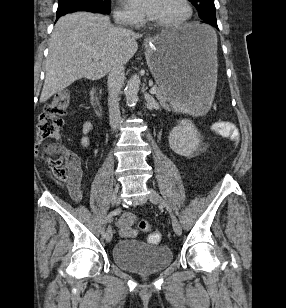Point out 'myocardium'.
<instances>
[{
  "instance_id": "myocardium-1",
  "label": "myocardium",
  "mask_w": 286,
  "mask_h": 308,
  "mask_svg": "<svg viewBox=\"0 0 286 308\" xmlns=\"http://www.w3.org/2000/svg\"><path fill=\"white\" fill-rule=\"evenodd\" d=\"M181 3L184 5V7L186 9V14L182 19H180L178 21H174V22L153 21V24L156 27L162 28V29H174V28L181 27V26L185 25L186 23H188L192 19V16H193L192 5H191L189 0H181Z\"/></svg>"
}]
</instances>
